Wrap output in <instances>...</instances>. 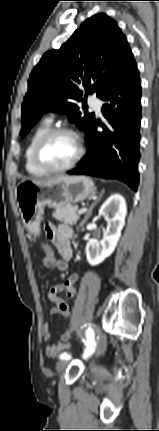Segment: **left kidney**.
Masks as SVG:
<instances>
[{
    "instance_id": "obj_1",
    "label": "left kidney",
    "mask_w": 159,
    "mask_h": 431,
    "mask_svg": "<svg viewBox=\"0 0 159 431\" xmlns=\"http://www.w3.org/2000/svg\"><path fill=\"white\" fill-rule=\"evenodd\" d=\"M126 214V202L120 194L111 195L101 206L99 215L106 220L107 228L101 241H91L86 245L85 252L90 265L100 264L114 252L125 224Z\"/></svg>"
}]
</instances>
